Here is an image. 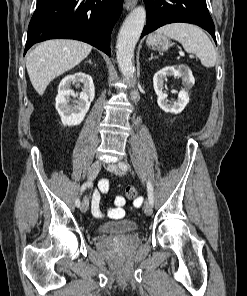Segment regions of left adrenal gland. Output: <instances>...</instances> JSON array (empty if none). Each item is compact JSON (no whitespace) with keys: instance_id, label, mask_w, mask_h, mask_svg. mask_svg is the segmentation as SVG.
<instances>
[{"instance_id":"1","label":"left adrenal gland","mask_w":247,"mask_h":296,"mask_svg":"<svg viewBox=\"0 0 247 296\" xmlns=\"http://www.w3.org/2000/svg\"><path fill=\"white\" fill-rule=\"evenodd\" d=\"M157 57L153 56V54L151 53V57L149 58V61H151L152 59H155Z\"/></svg>"}]
</instances>
